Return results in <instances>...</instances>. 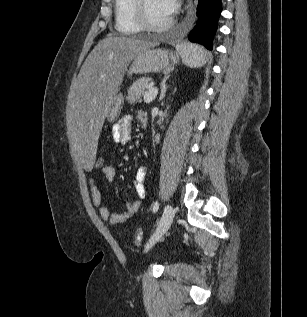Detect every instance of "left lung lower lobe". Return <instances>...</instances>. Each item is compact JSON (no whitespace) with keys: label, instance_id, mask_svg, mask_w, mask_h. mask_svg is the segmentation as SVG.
<instances>
[{"label":"left lung lower lobe","instance_id":"0a47b994","mask_svg":"<svg viewBox=\"0 0 307 317\" xmlns=\"http://www.w3.org/2000/svg\"><path fill=\"white\" fill-rule=\"evenodd\" d=\"M221 13V0H198L197 21L188 38L191 42L212 48V41L217 30ZM205 53V52H204Z\"/></svg>","mask_w":307,"mask_h":317}]
</instances>
